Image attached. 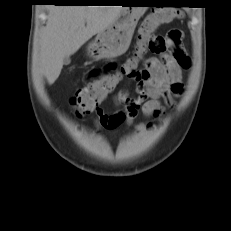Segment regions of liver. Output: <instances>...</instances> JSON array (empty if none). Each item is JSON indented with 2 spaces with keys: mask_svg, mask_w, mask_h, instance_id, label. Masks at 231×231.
I'll use <instances>...</instances> for the list:
<instances>
[{
  "mask_svg": "<svg viewBox=\"0 0 231 231\" xmlns=\"http://www.w3.org/2000/svg\"><path fill=\"white\" fill-rule=\"evenodd\" d=\"M122 9V6L49 7L39 49L40 66L49 84L59 77L64 58L76 53L92 36L104 31Z\"/></svg>",
  "mask_w": 231,
  "mask_h": 231,
  "instance_id": "obj_1",
  "label": "liver"
}]
</instances>
